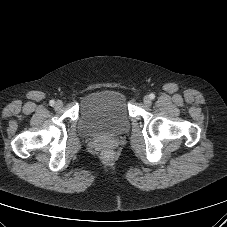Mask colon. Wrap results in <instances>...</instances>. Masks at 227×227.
<instances>
[{
  "mask_svg": "<svg viewBox=\"0 0 227 227\" xmlns=\"http://www.w3.org/2000/svg\"><path fill=\"white\" fill-rule=\"evenodd\" d=\"M103 157H104L105 159H111V158H112V152L109 151V150L104 151Z\"/></svg>",
  "mask_w": 227,
  "mask_h": 227,
  "instance_id": "1",
  "label": "colon"
}]
</instances>
